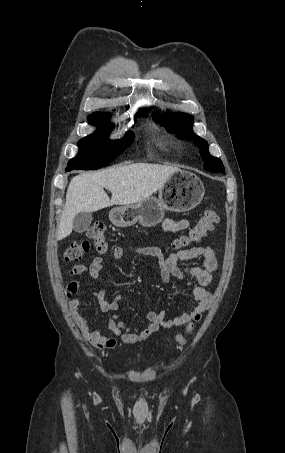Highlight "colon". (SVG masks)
<instances>
[{
	"label": "colon",
	"instance_id": "obj_1",
	"mask_svg": "<svg viewBox=\"0 0 285 453\" xmlns=\"http://www.w3.org/2000/svg\"><path fill=\"white\" fill-rule=\"evenodd\" d=\"M219 216L213 208L206 209L203 216L199 219L196 225L190 230L187 236L178 239L174 247L181 250H189L191 244L201 243L208 233L214 229L218 222ZM87 238L79 242H73L65 251V259L67 261H78L86 254L91 247V243L95 249L104 253L107 251L105 227L100 222L93 223L86 232ZM193 332V326H187L184 334H179L176 337L178 345H183L186 342V336Z\"/></svg>",
	"mask_w": 285,
	"mask_h": 453
}]
</instances>
